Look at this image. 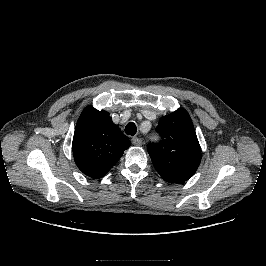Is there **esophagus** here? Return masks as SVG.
Returning <instances> with one entry per match:
<instances>
[{
    "mask_svg": "<svg viewBox=\"0 0 266 266\" xmlns=\"http://www.w3.org/2000/svg\"><path fill=\"white\" fill-rule=\"evenodd\" d=\"M131 141H132V144L135 146H140L142 144V140L135 136L132 137Z\"/></svg>",
    "mask_w": 266,
    "mask_h": 266,
    "instance_id": "obj_1",
    "label": "esophagus"
}]
</instances>
